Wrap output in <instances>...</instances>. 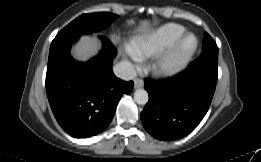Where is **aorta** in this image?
Returning <instances> with one entry per match:
<instances>
[{"instance_id": "obj_1", "label": "aorta", "mask_w": 261, "mask_h": 162, "mask_svg": "<svg viewBox=\"0 0 261 162\" xmlns=\"http://www.w3.org/2000/svg\"><path fill=\"white\" fill-rule=\"evenodd\" d=\"M134 100L139 105H145L149 100L147 91L144 89H137L134 92Z\"/></svg>"}]
</instances>
